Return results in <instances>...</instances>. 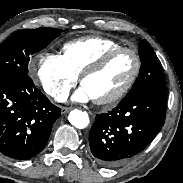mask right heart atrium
I'll return each instance as SVG.
<instances>
[{"mask_svg":"<svg viewBox=\"0 0 183 183\" xmlns=\"http://www.w3.org/2000/svg\"><path fill=\"white\" fill-rule=\"evenodd\" d=\"M36 61L37 77L43 90L53 99L63 101L76 85L78 76L61 54L42 52L37 55Z\"/></svg>","mask_w":183,"mask_h":183,"instance_id":"right-heart-atrium-1","label":"right heart atrium"}]
</instances>
